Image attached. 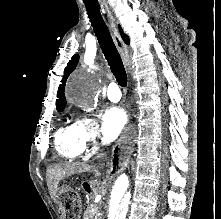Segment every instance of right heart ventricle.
I'll use <instances>...</instances> for the list:
<instances>
[{
  "instance_id": "e07e8e85",
  "label": "right heart ventricle",
  "mask_w": 221,
  "mask_h": 219,
  "mask_svg": "<svg viewBox=\"0 0 221 219\" xmlns=\"http://www.w3.org/2000/svg\"><path fill=\"white\" fill-rule=\"evenodd\" d=\"M55 149L58 155L66 160H74L84 153L85 149L80 141L75 122L67 124L57 131Z\"/></svg>"
}]
</instances>
